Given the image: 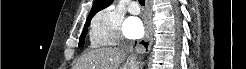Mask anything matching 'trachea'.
Here are the masks:
<instances>
[{"label":"trachea","mask_w":246,"mask_h":69,"mask_svg":"<svg viewBox=\"0 0 246 69\" xmlns=\"http://www.w3.org/2000/svg\"><path fill=\"white\" fill-rule=\"evenodd\" d=\"M139 3L144 6L145 5V1L144 0H139Z\"/></svg>","instance_id":"obj_1"}]
</instances>
